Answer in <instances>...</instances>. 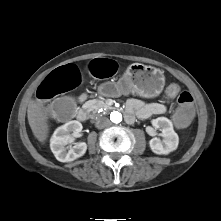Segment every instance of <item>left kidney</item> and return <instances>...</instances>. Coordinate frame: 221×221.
I'll list each match as a JSON object with an SVG mask.
<instances>
[{
	"label": "left kidney",
	"instance_id": "5707ae66",
	"mask_svg": "<svg viewBox=\"0 0 221 221\" xmlns=\"http://www.w3.org/2000/svg\"><path fill=\"white\" fill-rule=\"evenodd\" d=\"M155 129L161 130L162 140L155 137L149 141L151 150L159 155H167L177 149L179 137L173 129L172 122L166 117H158L152 120Z\"/></svg>",
	"mask_w": 221,
	"mask_h": 221
}]
</instances>
